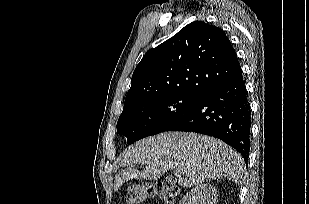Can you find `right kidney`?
<instances>
[{
    "mask_svg": "<svg viewBox=\"0 0 309 204\" xmlns=\"http://www.w3.org/2000/svg\"><path fill=\"white\" fill-rule=\"evenodd\" d=\"M217 191L210 184H200L191 189L179 204H216Z\"/></svg>",
    "mask_w": 309,
    "mask_h": 204,
    "instance_id": "right-kidney-1",
    "label": "right kidney"
}]
</instances>
